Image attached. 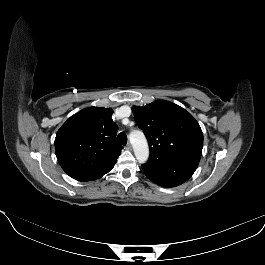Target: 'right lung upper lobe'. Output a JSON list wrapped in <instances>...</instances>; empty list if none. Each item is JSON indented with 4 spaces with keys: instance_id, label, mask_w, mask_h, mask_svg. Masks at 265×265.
Instances as JSON below:
<instances>
[{
    "instance_id": "obj_1",
    "label": "right lung upper lobe",
    "mask_w": 265,
    "mask_h": 265,
    "mask_svg": "<svg viewBox=\"0 0 265 265\" xmlns=\"http://www.w3.org/2000/svg\"><path fill=\"white\" fill-rule=\"evenodd\" d=\"M113 110L89 107L71 116L55 138L56 156L70 176L99 175L109 172L123 147L115 142L118 126Z\"/></svg>"
}]
</instances>
